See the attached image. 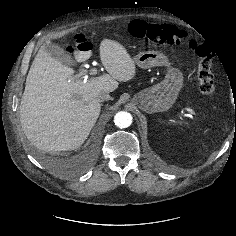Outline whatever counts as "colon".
<instances>
[{"instance_id": "obj_1", "label": "colon", "mask_w": 236, "mask_h": 236, "mask_svg": "<svg viewBox=\"0 0 236 236\" xmlns=\"http://www.w3.org/2000/svg\"><path fill=\"white\" fill-rule=\"evenodd\" d=\"M130 32L137 38L145 39L156 44L178 45L186 41L190 49L200 58L197 70L200 92L208 96L215 94L216 87L212 75L213 53L206 44L199 43L195 39H190L185 31L175 26L152 24L143 20L132 21ZM75 46L83 50H89L91 48L90 42L84 36H79Z\"/></svg>"}]
</instances>
